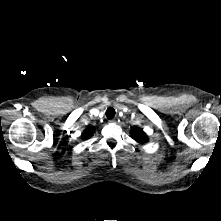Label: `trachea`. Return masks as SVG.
Wrapping results in <instances>:
<instances>
[{"mask_svg": "<svg viewBox=\"0 0 221 221\" xmlns=\"http://www.w3.org/2000/svg\"><path fill=\"white\" fill-rule=\"evenodd\" d=\"M114 116H115V110L112 107L108 108L106 110V117L108 119H112V118H114Z\"/></svg>", "mask_w": 221, "mask_h": 221, "instance_id": "3493384b", "label": "trachea"}]
</instances>
